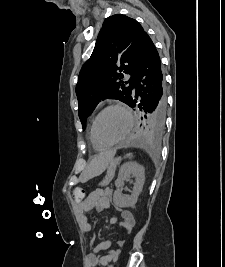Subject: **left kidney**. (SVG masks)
Segmentation results:
<instances>
[{
    "label": "left kidney",
    "mask_w": 225,
    "mask_h": 267,
    "mask_svg": "<svg viewBox=\"0 0 225 267\" xmlns=\"http://www.w3.org/2000/svg\"><path fill=\"white\" fill-rule=\"evenodd\" d=\"M130 176L135 177V183L133 187V193L130 196L122 195L120 189L122 188L124 181ZM145 180L144 167L136 162H128L121 166L118 178L115 181L117 190L114 192L113 201L114 204L121 208L133 207L138 199V196L142 192Z\"/></svg>",
    "instance_id": "left-kidney-1"
}]
</instances>
